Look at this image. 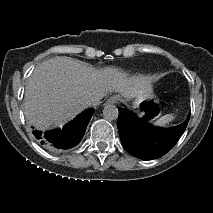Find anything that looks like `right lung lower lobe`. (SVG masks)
<instances>
[{
    "label": "right lung lower lobe",
    "instance_id": "1",
    "mask_svg": "<svg viewBox=\"0 0 213 213\" xmlns=\"http://www.w3.org/2000/svg\"><path fill=\"white\" fill-rule=\"evenodd\" d=\"M93 113V108L83 111L73 121L64 126L62 130L56 129L45 133L33 131V133L42 140V144L45 142L57 149H69L81 141Z\"/></svg>",
    "mask_w": 213,
    "mask_h": 213
}]
</instances>
